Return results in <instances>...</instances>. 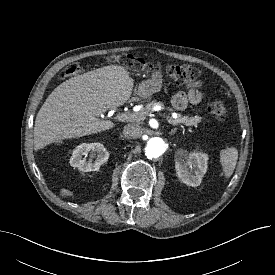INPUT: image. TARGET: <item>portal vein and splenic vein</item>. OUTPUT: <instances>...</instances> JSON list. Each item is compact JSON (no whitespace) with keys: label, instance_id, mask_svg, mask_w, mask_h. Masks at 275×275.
<instances>
[{"label":"portal vein and splenic vein","instance_id":"portal-vein-and-splenic-vein-1","mask_svg":"<svg viewBox=\"0 0 275 275\" xmlns=\"http://www.w3.org/2000/svg\"><path fill=\"white\" fill-rule=\"evenodd\" d=\"M139 116H140V113H121L116 116V120L122 121V122L123 121H134V120H137L139 118ZM167 121L170 124H174V123H172V121H170L169 118H167Z\"/></svg>","mask_w":275,"mask_h":275}]
</instances>
